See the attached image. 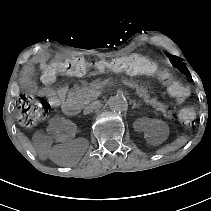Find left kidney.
<instances>
[{"mask_svg": "<svg viewBox=\"0 0 211 211\" xmlns=\"http://www.w3.org/2000/svg\"><path fill=\"white\" fill-rule=\"evenodd\" d=\"M165 126L166 121L163 118H157L155 121L142 120L139 123V128L144 132H155L156 130L163 129Z\"/></svg>", "mask_w": 211, "mask_h": 211, "instance_id": "left-kidney-1", "label": "left kidney"}]
</instances>
